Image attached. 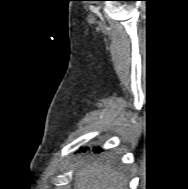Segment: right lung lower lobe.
Returning a JSON list of instances; mask_svg holds the SVG:
<instances>
[{
    "mask_svg": "<svg viewBox=\"0 0 188 189\" xmlns=\"http://www.w3.org/2000/svg\"><path fill=\"white\" fill-rule=\"evenodd\" d=\"M86 149L87 148H83V149H81L83 152H85L86 151ZM100 151H102V149H100V148H94V152H100Z\"/></svg>",
    "mask_w": 188,
    "mask_h": 189,
    "instance_id": "right-lung-lower-lobe-1",
    "label": "right lung lower lobe"
}]
</instances>
